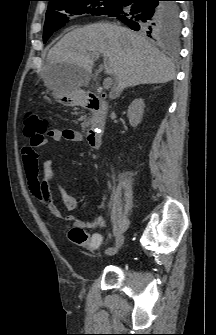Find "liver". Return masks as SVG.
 <instances>
[{
  "instance_id": "6515ba94",
  "label": "liver",
  "mask_w": 216,
  "mask_h": 335,
  "mask_svg": "<svg viewBox=\"0 0 216 335\" xmlns=\"http://www.w3.org/2000/svg\"><path fill=\"white\" fill-rule=\"evenodd\" d=\"M99 54L104 57V72L115 78L117 94L127 87L175 78V66L166 55L142 36L110 23H93L64 35L47 54L45 76L57 72L75 89L87 86Z\"/></svg>"
}]
</instances>
